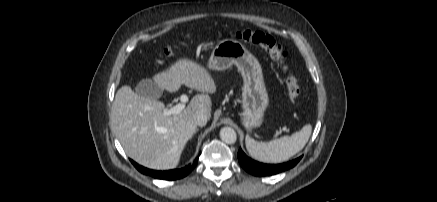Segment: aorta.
Returning a JSON list of instances; mask_svg holds the SVG:
<instances>
[{
	"label": "aorta",
	"instance_id": "1",
	"mask_svg": "<svg viewBox=\"0 0 437 202\" xmlns=\"http://www.w3.org/2000/svg\"><path fill=\"white\" fill-rule=\"evenodd\" d=\"M220 138L227 144H234L237 140V134L231 127H223L220 130Z\"/></svg>",
	"mask_w": 437,
	"mask_h": 202
}]
</instances>
